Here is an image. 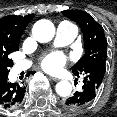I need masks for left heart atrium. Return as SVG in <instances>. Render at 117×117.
Listing matches in <instances>:
<instances>
[{
    "instance_id": "left-heart-atrium-1",
    "label": "left heart atrium",
    "mask_w": 117,
    "mask_h": 117,
    "mask_svg": "<svg viewBox=\"0 0 117 117\" xmlns=\"http://www.w3.org/2000/svg\"><path fill=\"white\" fill-rule=\"evenodd\" d=\"M67 63L66 56L61 52H51L43 57L41 60V67L43 70L55 73L61 70Z\"/></svg>"
}]
</instances>
